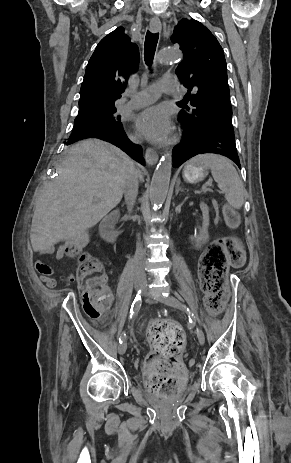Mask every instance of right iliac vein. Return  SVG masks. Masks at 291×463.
Returning a JSON list of instances; mask_svg holds the SVG:
<instances>
[{"label":"right iliac vein","instance_id":"right-iliac-vein-1","mask_svg":"<svg viewBox=\"0 0 291 463\" xmlns=\"http://www.w3.org/2000/svg\"><path fill=\"white\" fill-rule=\"evenodd\" d=\"M142 282H143V279L142 278H137L135 279L134 281V286H135V289L136 290H139L141 288V285H142ZM127 350V344L126 342H122L119 344L118 346V352L119 354L123 355Z\"/></svg>","mask_w":291,"mask_h":463}]
</instances>
